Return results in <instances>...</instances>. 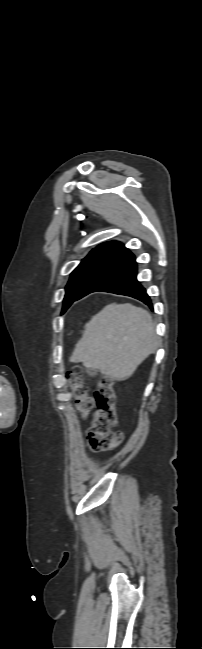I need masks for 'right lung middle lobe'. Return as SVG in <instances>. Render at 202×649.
Instances as JSON below:
<instances>
[{"mask_svg":"<svg viewBox=\"0 0 202 649\" xmlns=\"http://www.w3.org/2000/svg\"><path fill=\"white\" fill-rule=\"evenodd\" d=\"M115 257L117 256L109 254H89L82 260L80 265L71 273L70 280L66 286L62 313L74 301L78 300V296L86 284Z\"/></svg>","mask_w":202,"mask_h":649,"instance_id":"1","label":"right lung middle lobe"}]
</instances>
